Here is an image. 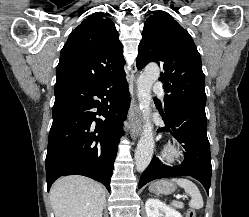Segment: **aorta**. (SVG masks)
<instances>
[{"label":"aorta","mask_w":249,"mask_h":217,"mask_svg":"<svg viewBox=\"0 0 249 217\" xmlns=\"http://www.w3.org/2000/svg\"><path fill=\"white\" fill-rule=\"evenodd\" d=\"M160 69L157 64L152 63L145 67L137 80L138 100L143 111L145 124L142 136L135 151V165L138 172H143L150 164L154 152L153 126L149 121L151 89L159 78Z\"/></svg>","instance_id":"762f6f07"}]
</instances>
